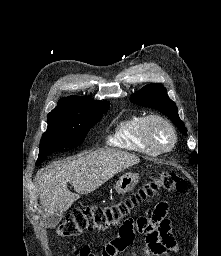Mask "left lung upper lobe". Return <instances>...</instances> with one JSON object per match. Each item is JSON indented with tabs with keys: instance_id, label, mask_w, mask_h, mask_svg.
Wrapping results in <instances>:
<instances>
[{
	"instance_id": "obj_1",
	"label": "left lung upper lobe",
	"mask_w": 221,
	"mask_h": 256,
	"mask_svg": "<svg viewBox=\"0 0 221 256\" xmlns=\"http://www.w3.org/2000/svg\"><path fill=\"white\" fill-rule=\"evenodd\" d=\"M130 100L140 106L158 109L160 112L167 115L182 133L187 134V129L183 121L179 118L176 104L168 97L167 90L162 84L146 85L139 92L134 94ZM196 161V153H193L189 162L196 164Z\"/></svg>"
}]
</instances>
